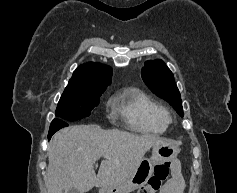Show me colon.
<instances>
[{"label": "colon", "instance_id": "obj_1", "mask_svg": "<svg viewBox=\"0 0 237 193\" xmlns=\"http://www.w3.org/2000/svg\"><path fill=\"white\" fill-rule=\"evenodd\" d=\"M169 173L170 165L168 163L156 165L147 184L143 186L137 193H157L160 190L162 184L167 180Z\"/></svg>", "mask_w": 237, "mask_h": 193}]
</instances>
